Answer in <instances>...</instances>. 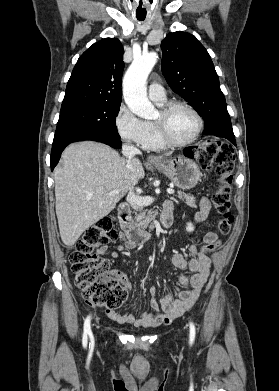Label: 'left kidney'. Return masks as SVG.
<instances>
[{
    "mask_svg": "<svg viewBox=\"0 0 279 391\" xmlns=\"http://www.w3.org/2000/svg\"><path fill=\"white\" fill-rule=\"evenodd\" d=\"M186 230L188 232H192L194 230V227H193L192 223H187Z\"/></svg>",
    "mask_w": 279,
    "mask_h": 391,
    "instance_id": "5707ae66",
    "label": "left kidney"
}]
</instances>
